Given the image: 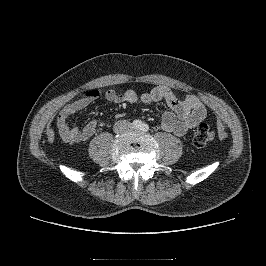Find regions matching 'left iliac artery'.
<instances>
[{
    "instance_id": "1",
    "label": "left iliac artery",
    "mask_w": 266,
    "mask_h": 266,
    "mask_svg": "<svg viewBox=\"0 0 266 266\" xmlns=\"http://www.w3.org/2000/svg\"><path fill=\"white\" fill-rule=\"evenodd\" d=\"M140 130L142 132H147L149 130V126L148 124H145V123H142L141 127H140Z\"/></svg>"
}]
</instances>
